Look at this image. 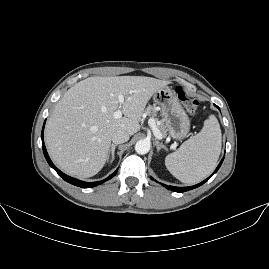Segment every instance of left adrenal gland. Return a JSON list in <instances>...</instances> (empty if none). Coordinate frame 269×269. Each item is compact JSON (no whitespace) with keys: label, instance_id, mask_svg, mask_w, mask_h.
Here are the masks:
<instances>
[{"label":"left adrenal gland","instance_id":"obj_1","mask_svg":"<svg viewBox=\"0 0 269 269\" xmlns=\"http://www.w3.org/2000/svg\"><path fill=\"white\" fill-rule=\"evenodd\" d=\"M155 146L157 148V152H159L161 149L167 151V149L163 145H161L158 141H155Z\"/></svg>","mask_w":269,"mask_h":269}]
</instances>
